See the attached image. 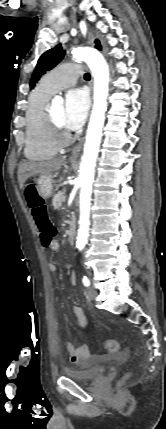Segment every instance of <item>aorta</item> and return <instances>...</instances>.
I'll return each mask as SVG.
<instances>
[{
  "mask_svg": "<svg viewBox=\"0 0 166 429\" xmlns=\"http://www.w3.org/2000/svg\"><path fill=\"white\" fill-rule=\"evenodd\" d=\"M72 57L75 60L85 61L94 78V103L86 133L79 174L80 219L76 247L82 250L87 243L89 233L92 184L107 110L109 69L102 54L90 47L73 49ZM55 101L61 103L62 98L56 97Z\"/></svg>",
  "mask_w": 166,
  "mask_h": 429,
  "instance_id": "1",
  "label": "aorta"
}]
</instances>
